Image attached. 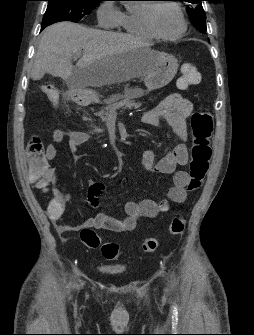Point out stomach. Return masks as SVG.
Instances as JSON below:
<instances>
[{
  "mask_svg": "<svg viewBox=\"0 0 254 335\" xmlns=\"http://www.w3.org/2000/svg\"><path fill=\"white\" fill-rule=\"evenodd\" d=\"M150 52L154 55L155 62L144 77L147 91L160 89L169 84L176 75L179 67L178 60L174 56L151 49ZM125 94L130 98H137L141 97L144 91L141 89H131L127 90ZM72 97L83 103L98 101V98L93 93L81 89L72 91Z\"/></svg>",
  "mask_w": 254,
  "mask_h": 335,
  "instance_id": "0dacf381",
  "label": "stomach"
}]
</instances>
